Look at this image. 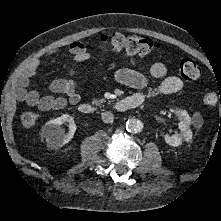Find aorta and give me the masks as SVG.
<instances>
[{"label":"aorta","mask_w":221,"mask_h":221,"mask_svg":"<svg viewBox=\"0 0 221 221\" xmlns=\"http://www.w3.org/2000/svg\"><path fill=\"white\" fill-rule=\"evenodd\" d=\"M143 129V123L142 121L135 119V118H130L126 122V130L128 132H140Z\"/></svg>","instance_id":"obj_1"}]
</instances>
